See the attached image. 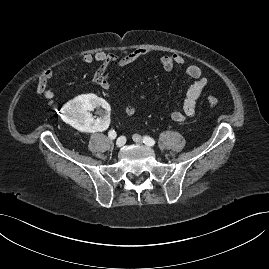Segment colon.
<instances>
[{
	"label": "colon",
	"mask_w": 269,
	"mask_h": 269,
	"mask_svg": "<svg viewBox=\"0 0 269 269\" xmlns=\"http://www.w3.org/2000/svg\"><path fill=\"white\" fill-rule=\"evenodd\" d=\"M222 92L216 91V92H210L206 96V101L210 105H217L221 101Z\"/></svg>",
	"instance_id": "1"
}]
</instances>
